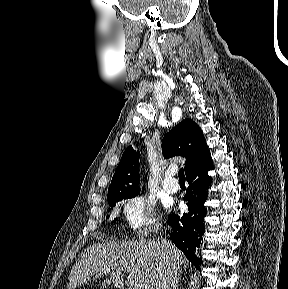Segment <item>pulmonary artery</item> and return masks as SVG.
Segmentation results:
<instances>
[{"mask_svg": "<svg viewBox=\"0 0 288 289\" xmlns=\"http://www.w3.org/2000/svg\"><path fill=\"white\" fill-rule=\"evenodd\" d=\"M162 186L165 191L169 193H175L179 190V184L177 179L174 177L172 171L168 170L165 173L164 179L162 181Z\"/></svg>", "mask_w": 288, "mask_h": 289, "instance_id": "pulmonary-artery-1", "label": "pulmonary artery"}]
</instances>
